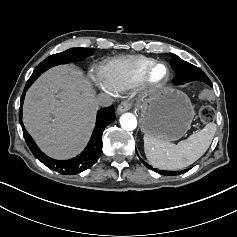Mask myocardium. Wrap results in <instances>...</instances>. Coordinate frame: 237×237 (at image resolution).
Listing matches in <instances>:
<instances>
[{
  "label": "myocardium",
  "instance_id": "obj_1",
  "mask_svg": "<svg viewBox=\"0 0 237 237\" xmlns=\"http://www.w3.org/2000/svg\"><path fill=\"white\" fill-rule=\"evenodd\" d=\"M157 66H163L165 68V76L160 80H154L152 78V72ZM170 78V68L163 61H153L143 72L139 85L147 91H155L166 85Z\"/></svg>",
  "mask_w": 237,
  "mask_h": 237
}]
</instances>
